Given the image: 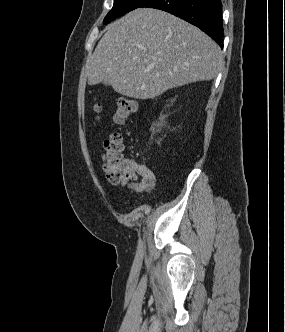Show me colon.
<instances>
[{"label": "colon", "instance_id": "1", "mask_svg": "<svg viewBox=\"0 0 285 332\" xmlns=\"http://www.w3.org/2000/svg\"><path fill=\"white\" fill-rule=\"evenodd\" d=\"M137 105L133 99L120 97L116 103L115 122L124 123L136 111ZM100 105L95 104V112H100ZM125 145L122 136L114 132L104 142L102 155L103 170L108 181L115 185H125L133 182L137 174L131 161L124 157Z\"/></svg>", "mask_w": 285, "mask_h": 332}]
</instances>
